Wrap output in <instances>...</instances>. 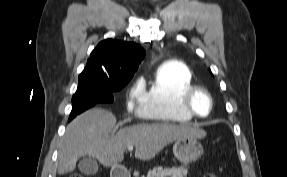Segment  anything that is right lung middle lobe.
Instances as JSON below:
<instances>
[{"label": "right lung middle lobe", "instance_id": "1", "mask_svg": "<svg viewBox=\"0 0 287 177\" xmlns=\"http://www.w3.org/2000/svg\"><path fill=\"white\" fill-rule=\"evenodd\" d=\"M130 80L121 81L109 86L100 84L92 75L81 73L76 93L72 97V104L79 103H111L113 92L120 91ZM75 113H71L70 116ZM70 118V117H69Z\"/></svg>", "mask_w": 287, "mask_h": 177}]
</instances>
